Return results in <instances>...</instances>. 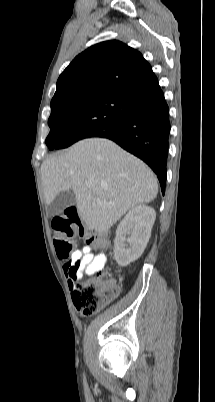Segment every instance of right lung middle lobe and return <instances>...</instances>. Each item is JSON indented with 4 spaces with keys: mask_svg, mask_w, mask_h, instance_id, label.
Returning a JSON list of instances; mask_svg holds the SVG:
<instances>
[{
    "mask_svg": "<svg viewBox=\"0 0 215 402\" xmlns=\"http://www.w3.org/2000/svg\"><path fill=\"white\" fill-rule=\"evenodd\" d=\"M135 104L127 98L105 93L52 100L46 144L50 150L61 149L94 137L124 120Z\"/></svg>",
    "mask_w": 215,
    "mask_h": 402,
    "instance_id": "1",
    "label": "right lung middle lobe"
}]
</instances>
